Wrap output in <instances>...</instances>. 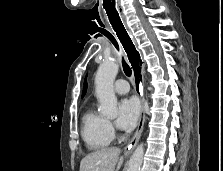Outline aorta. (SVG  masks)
<instances>
[{"label":"aorta","mask_w":223,"mask_h":171,"mask_svg":"<svg viewBox=\"0 0 223 171\" xmlns=\"http://www.w3.org/2000/svg\"><path fill=\"white\" fill-rule=\"evenodd\" d=\"M119 65L114 60H105L98 68L95 76V94L100 102L101 114L108 117L117 116V98L114 93V80ZM144 156L143 143L139 144L133 152L126 171H140Z\"/></svg>","instance_id":"762f6f07"}]
</instances>
